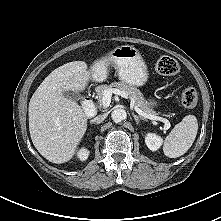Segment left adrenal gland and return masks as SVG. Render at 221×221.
Listing matches in <instances>:
<instances>
[{"instance_id": "a2214340", "label": "left adrenal gland", "mask_w": 221, "mask_h": 221, "mask_svg": "<svg viewBox=\"0 0 221 221\" xmlns=\"http://www.w3.org/2000/svg\"><path fill=\"white\" fill-rule=\"evenodd\" d=\"M132 116L134 117L137 125L139 124L140 120L147 121L145 118H143L141 116H138V115H136L134 113H132Z\"/></svg>"}]
</instances>
